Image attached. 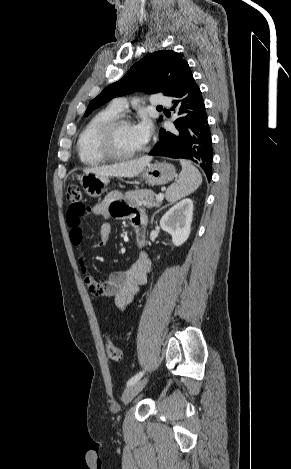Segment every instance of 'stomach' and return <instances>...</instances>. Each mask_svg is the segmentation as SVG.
I'll list each match as a JSON object with an SVG mask.
<instances>
[{"label": "stomach", "mask_w": 291, "mask_h": 469, "mask_svg": "<svg viewBox=\"0 0 291 469\" xmlns=\"http://www.w3.org/2000/svg\"><path fill=\"white\" fill-rule=\"evenodd\" d=\"M177 176L175 167L169 163L148 164L142 171L141 177L151 185H164ZM81 185L90 197H100L107 191L110 182L108 176L94 173L84 174L80 179Z\"/></svg>", "instance_id": "0dacf381"}]
</instances>
